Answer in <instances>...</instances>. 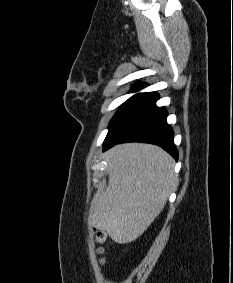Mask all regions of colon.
<instances>
[{
    "label": "colon",
    "instance_id": "1",
    "mask_svg": "<svg viewBox=\"0 0 233 283\" xmlns=\"http://www.w3.org/2000/svg\"><path fill=\"white\" fill-rule=\"evenodd\" d=\"M96 241L100 244L99 252L103 253L107 243V235L101 231L96 232Z\"/></svg>",
    "mask_w": 233,
    "mask_h": 283
}]
</instances>
